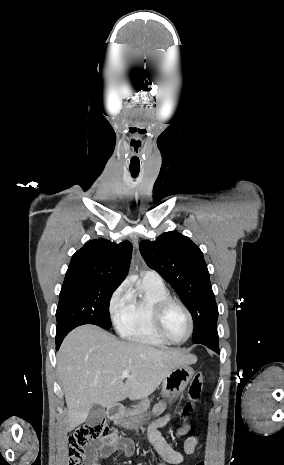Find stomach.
I'll list each match as a JSON object with an SVG mask.
<instances>
[{"instance_id": "0dacf381", "label": "stomach", "mask_w": 284, "mask_h": 465, "mask_svg": "<svg viewBox=\"0 0 284 465\" xmlns=\"http://www.w3.org/2000/svg\"><path fill=\"white\" fill-rule=\"evenodd\" d=\"M194 375L193 369L189 365H182V367H177V369H172L169 375H166L162 383L161 395L168 401V403H173L176 401L183 391H185L188 383H190ZM150 417L147 413H141V415H134V417H115L116 425L124 427V429H135L138 425L146 423L149 421Z\"/></svg>"}]
</instances>
